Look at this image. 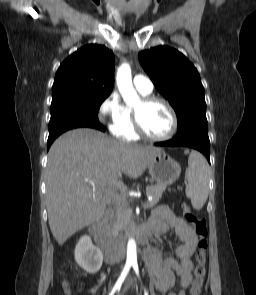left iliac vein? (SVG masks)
Masks as SVG:
<instances>
[{
	"instance_id": "obj_1",
	"label": "left iliac vein",
	"mask_w": 256,
	"mask_h": 295,
	"mask_svg": "<svg viewBox=\"0 0 256 295\" xmlns=\"http://www.w3.org/2000/svg\"><path fill=\"white\" fill-rule=\"evenodd\" d=\"M131 283H132V280L130 279V280H129V284H131Z\"/></svg>"
}]
</instances>
